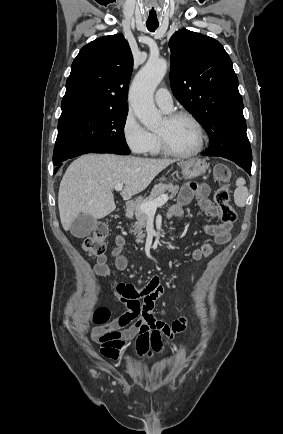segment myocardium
<instances>
[{
    "label": "myocardium",
    "mask_w": 283,
    "mask_h": 434,
    "mask_svg": "<svg viewBox=\"0 0 283 434\" xmlns=\"http://www.w3.org/2000/svg\"><path fill=\"white\" fill-rule=\"evenodd\" d=\"M165 118L168 121H174V120H177L180 118L188 119L194 125L196 132H197V145L192 151H189V152L175 151L174 149H172L169 146V144H168L167 140L165 139V137L163 136V134L157 132L156 135L158 137L161 150L165 154L170 155L172 157H176V158L186 159V158H191V157L198 155L203 150L204 144H205V132H204V128H203L202 124L200 123V121L197 119V117L195 115H193L192 113H190L188 111L180 110V111H174V112L167 114Z\"/></svg>",
    "instance_id": "1"
}]
</instances>
